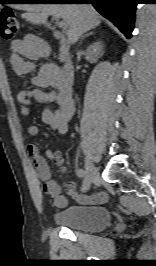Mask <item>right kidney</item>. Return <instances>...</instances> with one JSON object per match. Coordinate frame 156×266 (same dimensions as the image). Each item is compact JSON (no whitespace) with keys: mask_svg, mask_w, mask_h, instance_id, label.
I'll return each mask as SVG.
<instances>
[{"mask_svg":"<svg viewBox=\"0 0 156 266\" xmlns=\"http://www.w3.org/2000/svg\"><path fill=\"white\" fill-rule=\"evenodd\" d=\"M86 55L91 63H96L98 58L103 55V42L97 41L88 46Z\"/></svg>","mask_w":156,"mask_h":266,"instance_id":"ca27d5eb","label":"right kidney"}]
</instances>
